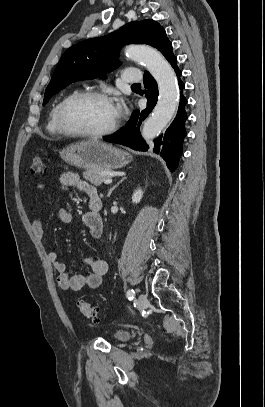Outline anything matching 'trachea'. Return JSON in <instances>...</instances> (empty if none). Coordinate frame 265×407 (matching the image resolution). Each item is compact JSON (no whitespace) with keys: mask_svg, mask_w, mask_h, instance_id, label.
I'll list each match as a JSON object with an SVG mask.
<instances>
[{"mask_svg":"<svg viewBox=\"0 0 265 407\" xmlns=\"http://www.w3.org/2000/svg\"><path fill=\"white\" fill-rule=\"evenodd\" d=\"M132 86H140V84H133Z\"/></svg>","mask_w":265,"mask_h":407,"instance_id":"1","label":"trachea"}]
</instances>
